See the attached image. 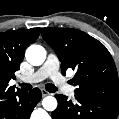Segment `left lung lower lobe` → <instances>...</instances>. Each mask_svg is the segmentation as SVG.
I'll return each instance as SVG.
<instances>
[{
  "mask_svg": "<svg viewBox=\"0 0 119 119\" xmlns=\"http://www.w3.org/2000/svg\"><path fill=\"white\" fill-rule=\"evenodd\" d=\"M58 107L52 112V119H117L119 102L88 97L75 93L74 100L56 94Z\"/></svg>",
  "mask_w": 119,
  "mask_h": 119,
  "instance_id": "obj_1",
  "label": "left lung lower lobe"
}]
</instances>
